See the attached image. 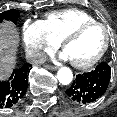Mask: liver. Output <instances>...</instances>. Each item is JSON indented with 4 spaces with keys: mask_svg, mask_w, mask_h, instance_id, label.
Returning a JSON list of instances; mask_svg holds the SVG:
<instances>
[{
    "mask_svg": "<svg viewBox=\"0 0 117 117\" xmlns=\"http://www.w3.org/2000/svg\"><path fill=\"white\" fill-rule=\"evenodd\" d=\"M19 45V33L15 26L5 21L0 24V80L10 73Z\"/></svg>",
    "mask_w": 117,
    "mask_h": 117,
    "instance_id": "liver-1",
    "label": "liver"
}]
</instances>
